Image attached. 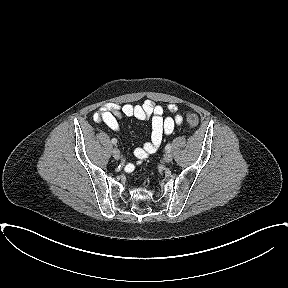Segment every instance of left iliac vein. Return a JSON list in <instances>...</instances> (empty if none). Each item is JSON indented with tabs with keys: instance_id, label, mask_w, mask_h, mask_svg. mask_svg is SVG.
I'll return each instance as SVG.
<instances>
[{
	"instance_id": "obj_1",
	"label": "left iliac vein",
	"mask_w": 288,
	"mask_h": 288,
	"mask_svg": "<svg viewBox=\"0 0 288 288\" xmlns=\"http://www.w3.org/2000/svg\"><path fill=\"white\" fill-rule=\"evenodd\" d=\"M164 161H165L166 163H169V162L172 161V154H171L170 152H166V153L164 154Z\"/></svg>"
}]
</instances>
